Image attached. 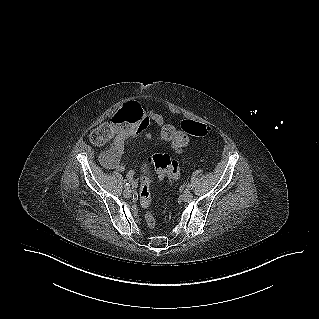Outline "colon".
Returning <instances> with one entry per match:
<instances>
[{
    "instance_id": "colon-1",
    "label": "colon",
    "mask_w": 319,
    "mask_h": 319,
    "mask_svg": "<svg viewBox=\"0 0 319 319\" xmlns=\"http://www.w3.org/2000/svg\"><path fill=\"white\" fill-rule=\"evenodd\" d=\"M181 129L177 124L164 122L158 126L155 136L159 144L178 150H187L194 143L196 138H208L211 135V128L206 121L184 119L181 122ZM183 131L188 135H183ZM149 164L155 168L156 173L161 178L170 181H177L181 176L180 166L177 160L164 153H156L149 159ZM139 199L141 206L147 210V225L154 229L155 219L149 211L151 205L150 180L146 175L140 179Z\"/></svg>"
}]
</instances>
